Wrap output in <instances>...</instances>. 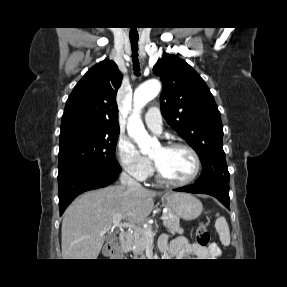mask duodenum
I'll return each instance as SVG.
<instances>
[{"instance_id": "1", "label": "duodenum", "mask_w": 287, "mask_h": 287, "mask_svg": "<svg viewBox=\"0 0 287 287\" xmlns=\"http://www.w3.org/2000/svg\"><path fill=\"white\" fill-rule=\"evenodd\" d=\"M119 239H120L123 250H127L132 239L131 233L129 231H124L120 234Z\"/></svg>"}]
</instances>
